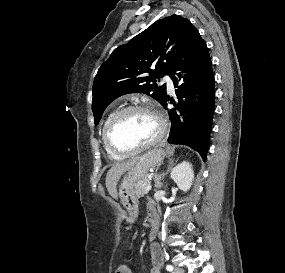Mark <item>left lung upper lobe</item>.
Listing matches in <instances>:
<instances>
[{
    "mask_svg": "<svg viewBox=\"0 0 285 273\" xmlns=\"http://www.w3.org/2000/svg\"><path fill=\"white\" fill-rule=\"evenodd\" d=\"M194 30L189 20L172 15L157 20L127 44L116 48L94 79L95 125L105 108L124 94L145 93L161 104L167 97L166 85L158 86L157 79L171 75L181 58L174 50L185 52Z\"/></svg>",
    "mask_w": 285,
    "mask_h": 273,
    "instance_id": "5c2ea615",
    "label": "left lung upper lobe"
}]
</instances>
